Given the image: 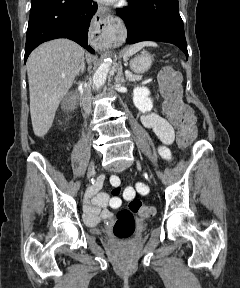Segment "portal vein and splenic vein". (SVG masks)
<instances>
[{
	"label": "portal vein and splenic vein",
	"mask_w": 240,
	"mask_h": 288,
	"mask_svg": "<svg viewBox=\"0 0 240 288\" xmlns=\"http://www.w3.org/2000/svg\"><path fill=\"white\" fill-rule=\"evenodd\" d=\"M125 74H126V75H129V74H130V72H129V71H127V72H125Z\"/></svg>",
	"instance_id": "portal-vein-and-splenic-vein-1"
}]
</instances>
